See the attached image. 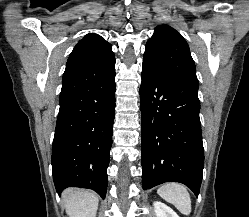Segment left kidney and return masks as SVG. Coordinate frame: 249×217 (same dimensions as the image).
<instances>
[{
  "label": "left kidney",
  "mask_w": 249,
  "mask_h": 217,
  "mask_svg": "<svg viewBox=\"0 0 249 217\" xmlns=\"http://www.w3.org/2000/svg\"><path fill=\"white\" fill-rule=\"evenodd\" d=\"M154 208L156 217H179L172 208L162 202H154Z\"/></svg>",
  "instance_id": "left-kidney-1"
}]
</instances>
